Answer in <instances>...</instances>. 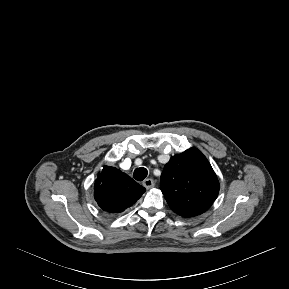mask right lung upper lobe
Here are the masks:
<instances>
[{
    "label": "right lung upper lobe",
    "mask_w": 289,
    "mask_h": 289,
    "mask_svg": "<svg viewBox=\"0 0 289 289\" xmlns=\"http://www.w3.org/2000/svg\"><path fill=\"white\" fill-rule=\"evenodd\" d=\"M94 197L107 212L119 213L132 206L145 192V188L119 169L104 166L94 185Z\"/></svg>",
    "instance_id": "1"
}]
</instances>
